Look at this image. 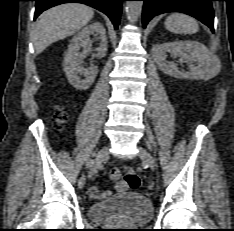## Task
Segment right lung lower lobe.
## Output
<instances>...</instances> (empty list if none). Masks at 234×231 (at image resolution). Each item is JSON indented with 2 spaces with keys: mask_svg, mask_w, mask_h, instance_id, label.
<instances>
[{
  "mask_svg": "<svg viewBox=\"0 0 234 231\" xmlns=\"http://www.w3.org/2000/svg\"><path fill=\"white\" fill-rule=\"evenodd\" d=\"M36 1V10L34 19L46 9L69 2H77L94 7L105 13L117 28L120 22L121 5L124 0H34Z\"/></svg>",
  "mask_w": 234,
  "mask_h": 231,
  "instance_id": "obj_1",
  "label": "right lung lower lobe"
}]
</instances>
